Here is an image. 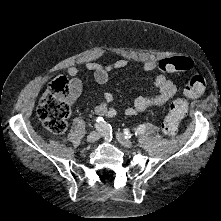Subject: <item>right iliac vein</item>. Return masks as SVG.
Returning a JSON list of instances; mask_svg holds the SVG:
<instances>
[{"instance_id": "1", "label": "right iliac vein", "mask_w": 221, "mask_h": 221, "mask_svg": "<svg viewBox=\"0 0 221 221\" xmlns=\"http://www.w3.org/2000/svg\"><path fill=\"white\" fill-rule=\"evenodd\" d=\"M99 139V134L95 131L91 132L88 136H87V141L90 143H94Z\"/></svg>"}]
</instances>
